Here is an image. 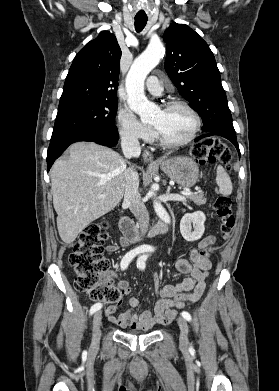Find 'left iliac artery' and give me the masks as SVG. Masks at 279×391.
<instances>
[{"label":"left iliac artery","mask_w":279,"mask_h":391,"mask_svg":"<svg viewBox=\"0 0 279 391\" xmlns=\"http://www.w3.org/2000/svg\"><path fill=\"white\" fill-rule=\"evenodd\" d=\"M147 251H151V250H147ZM147 258H148V255H143V256H140L138 258V260H137V267L139 269L144 270V268H145V261L147 260ZM181 315L187 321H191V315L187 311H182Z\"/></svg>","instance_id":"1"}]
</instances>
